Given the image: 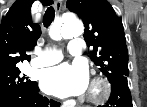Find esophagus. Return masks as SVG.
I'll use <instances>...</instances> for the list:
<instances>
[{"label": "esophagus", "mask_w": 147, "mask_h": 107, "mask_svg": "<svg viewBox=\"0 0 147 107\" xmlns=\"http://www.w3.org/2000/svg\"><path fill=\"white\" fill-rule=\"evenodd\" d=\"M62 2L60 0L55 1V10L56 13L59 14L61 12Z\"/></svg>", "instance_id": "obj_1"}]
</instances>
